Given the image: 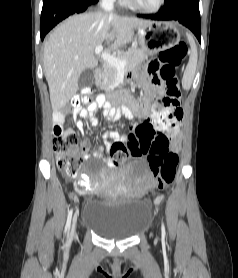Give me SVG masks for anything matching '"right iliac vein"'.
Returning <instances> with one entry per match:
<instances>
[{
	"label": "right iliac vein",
	"mask_w": 238,
	"mask_h": 278,
	"mask_svg": "<svg viewBox=\"0 0 238 278\" xmlns=\"http://www.w3.org/2000/svg\"><path fill=\"white\" fill-rule=\"evenodd\" d=\"M76 233V216H74L73 221H72V227L70 231V238H72Z\"/></svg>",
	"instance_id": "right-iliac-vein-1"
}]
</instances>
